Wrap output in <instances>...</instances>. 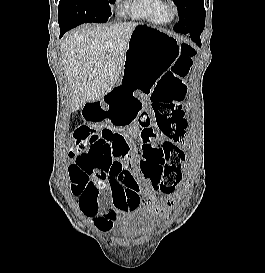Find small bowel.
<instances>
[{"label":"small bowel","instance_id":"c3829d8e","mask_svg":"<svg viewBox=\"0 0 265 273\" xmlns=\"http://www.w3.org/2000/svg\"><path fill=\"white\" fill-rule=\"evenodd\" d=\"M139 104H143V99H139L134 91H111L104 103L84 104L87 109L83 110L82 118L88 123L108 120L115 123V128L128 127L126 131L129 135L139 133L141 138V155L138 156L133 153V145L127 135L117 132L118 136L110 142L111 164L105 172L95 174L97 195L86 192L75 195L79 198L82 214L102 232H110L128 211L142 204L158 216L164 214L163 208L155 203L151 178L167 160L156 155L159 132L154 128L139 129L131 123L135 121L133 114L142 111ZM73 128L110 129V124H74ZM140 182L143 190H140Z\"/></svg>","mask_w":265,"mask_h":273}]
</instances>
